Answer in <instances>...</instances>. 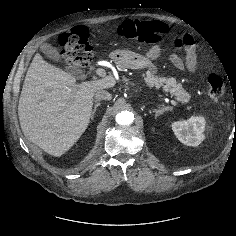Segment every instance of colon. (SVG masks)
I'll return each mask as SVG.
<instances>
[{"instance_id": "1", "label": "colon", "mask_w": 236, "mask_h": 236, "mask_svg": "<svg viewBox=\"0 0 236 236\" xmlns=\"http://www.w3.org/2000/svg\"><path fill=\"white\" fill-rule=\"evenodd\" d=\"M118 35L142 43L154 44L163 40L167 27L159 21L127 20L117 29ZM63 48L66 64L80 69L88 66L92 58L90 33L85 26H76L58 37ZM225 80L221 75L211 74L207 78L206 90L211 98L221 97L225 91Z\"/></svg>"}]
</instances>
